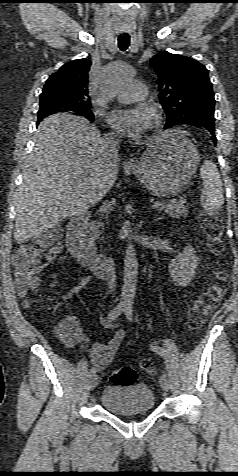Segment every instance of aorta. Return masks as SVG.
I'll use <instances>...</instances> for the list:
<instances>
[{
  "mask_svg": "<svg viewBox=\"0 0 238 476\" xmlns=\"http://www.w3.org/2000/svg\"><path fill=\"white\" fill-rule=\"evenodd\" d=\"M133 75V69L129 66H114L106 75L105 94L113 96L117 88L127 82ZM138 276V260L134 245L129 243L124 258V284L121 293V305L131 307L136 293Z\"/></svg>",
  "mask_w": 238,
  "mask_h": 476,
  "instance_id": "obj_1",
  "label": "aorta"
}]
</instances>
